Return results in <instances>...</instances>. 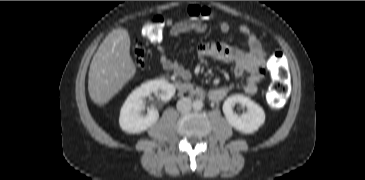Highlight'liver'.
Listing matches in <instances>:
<instances>
[{
  "label": "liver",
  "mask_w": 365,
  "mask_h": 180,
  "mask_svg": "<svg viewBox=\"0 0 365 180\" xmlns=\"http://www.w3.org/2000/svg\"><path fill=\"white\" fill-rule=\"evenodd\" d=\"M135 73L128 31L115 29L106 36L91 61L88 79L90 98L100 106L107 104Z\"/></svg>",
  "instance_id": "6515ba94"
}]
</instances>
